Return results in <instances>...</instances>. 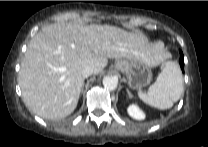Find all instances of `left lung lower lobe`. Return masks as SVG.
<instances>
[{
  "label": "left lung lower lobe",
  "instance_id": "obj_1",
  "mask_svg": "<svg viewBox=\"0 0 208 147\" xmlns=\"http://www.w3.org/2000/svg\"><path fill=\"white\" fill-rule=\"evenodd\" d=\"M179 62H180L181 70H182V72H184V56H183L182 51H180V60H179Z\"/></svg>",
  "mask_w": 208,
  "mask_h": 147
}]
</instances>
